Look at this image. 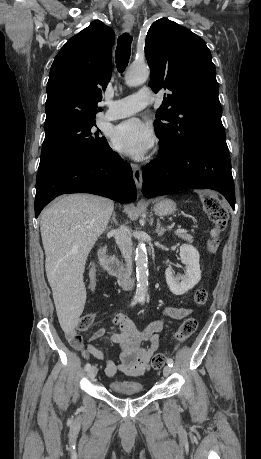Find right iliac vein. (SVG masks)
I'll return each mask as SVG.
<instances>
[{"mask_svg":"<svg viewBox=\"0 0 261 459\" xmlns=\"http://www.w3.org/2000/svg\"><path fill=\"white\" fill-rule=\"evenodd\" d=\"M97 371H98V370H97V367L92 366V367L87 371V377H88L89 379H93V378L96 376Z\"/></svg>","mask_w":261,"mask_h":459,"instance_id":"obj_1","label":"right iliac vein"}]
</instances>
